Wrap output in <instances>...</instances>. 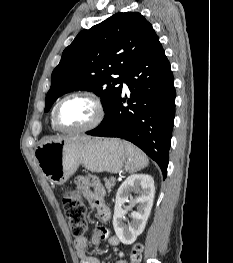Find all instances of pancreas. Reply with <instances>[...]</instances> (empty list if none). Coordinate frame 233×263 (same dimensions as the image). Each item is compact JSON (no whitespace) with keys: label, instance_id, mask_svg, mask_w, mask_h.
<instances>
[{"label":"pancreas","instance_id":"pancreas-1","mask_svg":"<svg viewBox=\"0 0 233 263\" xmlns=\"http://www.w3.org/2000/svg\"><path fill=\"white\" fill-rule=\"evenodd\" d=\"M104 181H105V187H106V189L108 190V192H110L111 189H112V188L114 187V185H115V181H113L111 178H110V179L105 178Z\"/></svg>","mask_w":233,"mask_h":263}]
</instances>
